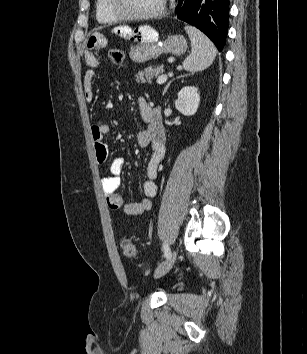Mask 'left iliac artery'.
Returning a JSON list of instances; mask_svg holds the SVG:
<instances>
[{
    "instance_id": "obj_1",
    "label": "left iliac artery",
    "mask_w": 307,
    "mask_h": 354,
    "mask_svg": "<svg viewBox=\"0 0 307 354\" xmlns=\"http://www.w3.org/2000/svg\"><path fill=\"white\" fill-rule=\"evenodd\" d=\"M163 252H164V256L167 258V257H169V255H170V248H169V245L165 242L164 244H163Z\"/></svg>"
}]
</instances>
